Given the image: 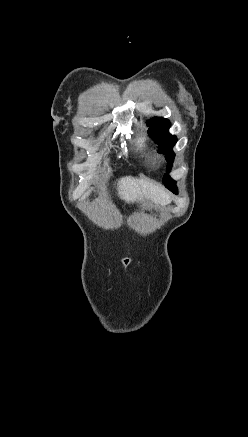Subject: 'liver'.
<instances>
[{
	"label": "liver",
	"mask_w": 248,
	"mask_h": 437,
	"mask_svg": "<svg viewBox=\"0 0 248 437\" xmlns=\"http://www.w3.org/2000/svg\"><path fill=\"white\" fill-rule=\"evenodd\" d=\"M119 197L127 203L150 199L153 203L165 206L171 202L169 194L159 186L133 177H123L118 183Z\"/></svg>",
	"instance_id": "obj_1"
}]
</instances>
